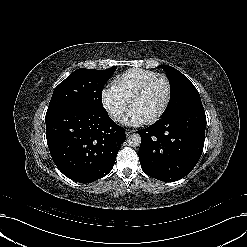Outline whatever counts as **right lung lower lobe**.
<instances>
[{
    "label": "right lung lower lobe",
    "instance_id": "obj_1",
    "mask_svg": "<svg viewBox=\"0 0 247 247\" xmlns=\"http://www.w3.org/2000/svg\"><path fill=\"white\" fill-rule=\"evenodd\" d=\"M46 138L51 157L68 178L90 183L113 168L125 129L104 107H61L46 113Z\"/></svg>",
    "mask_w": 247,
    "mask_h": 247
}]
</instances>
